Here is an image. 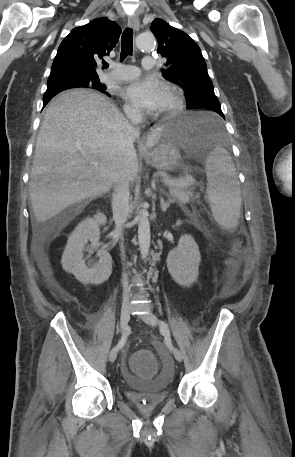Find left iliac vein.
<instances>
[{
    "label": "left iliac vein",
    "mask_w": 295,
    "mask_h": 457,
    "mask_svg": "<svg viewBox=\"0 0 295 457\" xmlns=\"http://www.w3.org/2000/svg\"><path fill=\"white\" fill-rule=\"evenodd\" d=\"M139 317L145 323H147L153 327L157 326V324H158V320H157L156 316L151 313L142 314ZM173 355L176 358V360L182 361V359H183L182 354L177 348L173 349Z\"/></svg>",
    "instance_id": "1"
}]
</instances>
